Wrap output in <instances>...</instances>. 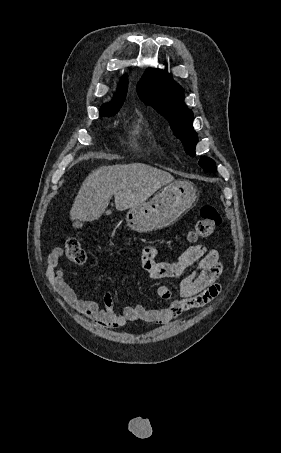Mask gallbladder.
<instances>
[{
    "label": "gallbladder",
    "instance_id": "obj_1",
    "mask_svg": "<svg viewBox=\"0 0 281 453\" xmlns=\"http://www.w3.org/2000/svg\"><path fill=\"white\" fill-rule=\"evenodd\" d=\"M73 226H74V228L79 229V228H81L82 223H81V221L76 220V221H74Z\"/></svg>",
    "mask_w": 281,
    "mask_h": 453
}]
</instances>
